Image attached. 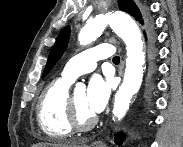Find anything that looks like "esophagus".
<instances>
[{"instance_id": "obj_1", "label": "esophagus", "mask_w": 183, "mask_h": 147, "mask_svg": "<svg viewBox=\"0 0 183 147\" xmlns=\"http://www.w3.org/2000/svg\"><path fill=\"white\" fill-rule=\"evenodd\" d=\"M94 145H95V146H101V142H100V141H97V142H95Z\"/></svg>"}]
</instances>
